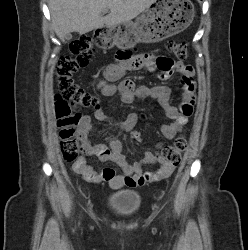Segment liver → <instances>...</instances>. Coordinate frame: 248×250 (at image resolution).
I'll return each mask as SVG.
<instances>
[{"instance_id":"obj_1","label":"liver","mask_w":248,"mask_h":250,"mask_svg":"<svg viewBox=\"0 0 248 250\" xmlns=\"http://www.w3.org/2000/svg\"><path fill=\"white\" fill-rule=\"evenodd\" d=\"M156 0H49L56 35L61 41L71 32L80 35L106 26L131 21ZM110 10L103 17L102 12Z\"/></svg>"}]
</instances>
